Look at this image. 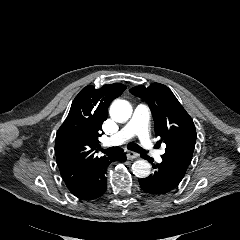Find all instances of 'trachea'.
<instances>
[{"label": "trachea", "instance_id": "1", "mask_svg": "<svg viewBox=\"0 0 240 240\" xmlns=\"http://www.w3.org/2000/svg\"><path fill=\"white\" fill-rule=\"evenodd\" d=\"M128 149L132 150V151H138V152L144 151L139 145L134 144V143L129 144ZM102 152L105 153L106 155L110 156V155L122 152V149L119 147L108 148L107 150H102Z\"/></svg>", "mask_w": 240, "mask_h": 240}]
</instances>
